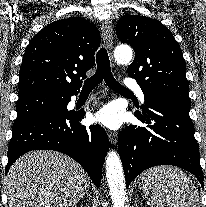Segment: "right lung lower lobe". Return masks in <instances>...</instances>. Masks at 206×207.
<instances>
[{"mask_svg":"<svg viewBox=\"0 0 206 207\" xmlns=\"http://www.w3.org/2000/svg\"><path fill=\"white\" fill-rule=\"evenodd\" d=\"M68 95L67 104L71 101ZM84 111L46 113L17 120L8 147L6 173L21 155L32 150H55L76 160L98 187L109 140L100 125L80 124Z\"/></svg>","mask_w":206,"mask_h":207,"instance_id":"1","label":"right lung lower lobe"}]
</instances>
